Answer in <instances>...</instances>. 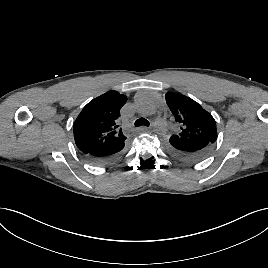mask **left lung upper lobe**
I'll list each match as a JSON object with an SVG mask.
<instances>
[{
    "label": "left lung upper lobe",
    "mask_w": 268,
    "mask_h": 268,
    "mask_svg": "<svg viewBox=\"0 0 268 268\" xmlns=\"http://www.w3.org/2000/svg\"><path fill=\"white\" fill-rule=\"evenodd\" d=\"M166 103L178 123L179 133L173 138L204 139L211 143L217 140L216 122L200 104L187 96L167 93Z\"/></svg>",
    "instance_id": "obj_1"
}]
</instances>
